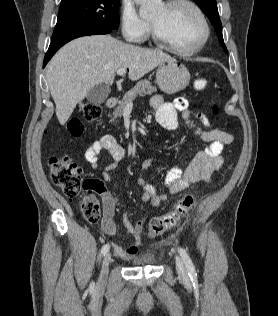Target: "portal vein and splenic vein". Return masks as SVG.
Instances as JSON below:
<instances>
[{"mask_svg":"<svg viewBox=\"0 0 278 316\" xmlns=\"http://www.w3.org/2000/svg\"><path fill=\"white\" fill-rule=\"evenodd\" d=\"M125 73H126V69H124V68H121V69L117 70V74L118 75H124ZM130 104H132V102Z\"/></svg>","mask_w":278,"mask_h":316,"instance_id":"obj_1","label":"portal vein and splenic vein"}]
</instances>
